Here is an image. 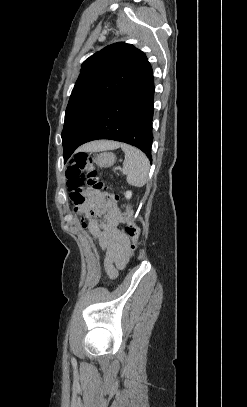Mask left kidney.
I'll list each match as a JSON object with an SVG mask.
<instances>
[{
    "mask_svg": "<svg viewBox=\"0 0 247 407\" xmlns=\"http://www.w3.org/2000/svg\"><path fill=\"white\" fill-rule=\"evenodd\" d=\"M131 196H132V192H131V191H127V192L125 193V197H126L127 199H130Z\"/></svg>",
    "mask_w": 247,
    "mask_h": 407,
    "instance_id": "1",
    "label": "left kidney"
}]
</instances>
